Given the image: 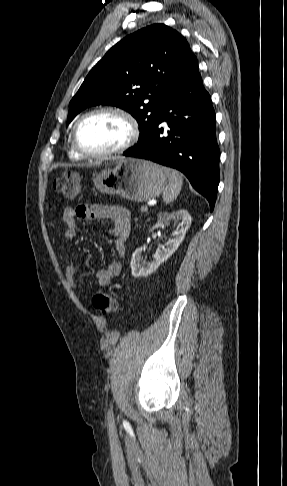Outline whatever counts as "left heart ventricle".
<instances>
[{
    "label": "left heart ventricle",
    "mask_w": 287,
    "mask_h": 486,
    "mask_svg": "<svg viewBox=\"0 0 287 486\" xmlns=\"http://www.w3.org/2000/svg\"><path fill=\"white\" fill-rule=\"evenodd\" d=\"M128 136L125 121L115 114L103 113L85 120L78 138L81 146L90 152H104L120 146Z\"/></svg>",
    "instance_id": "obj_1"
}]
</instances>
